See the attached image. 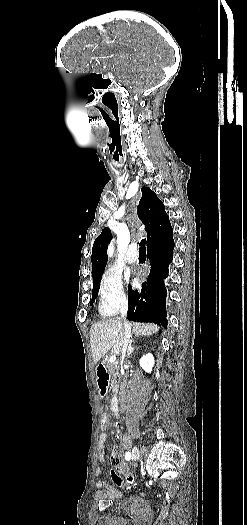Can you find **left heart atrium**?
I'll return each instance as SVG.
<instances>
[{
	"label": "left heart atrium",
	"mask_w": 247,
	"mask_h": 525,
	"mask_svg": "<svg viewBox=\"0 0 247 525\" xmlns=\"http://www.w3.org/2000/svg\"><path fill=\"white\" fill-rule=\"evenodd\" d=\"M145 272H131L130 275L131 277H133L134 279H142L143 276H144Z\"/></svg>",
	"instance_id": "39dd6f15"
}]
</instances>
